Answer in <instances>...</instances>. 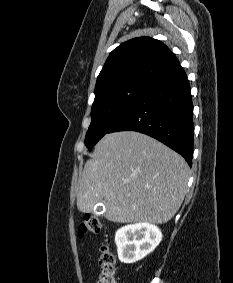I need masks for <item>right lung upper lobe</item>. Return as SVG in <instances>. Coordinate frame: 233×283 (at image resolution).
Instances as JSON below:
<instances>
[{
  "instance_id": "1",
  "label": "right lung upper lobe",
  "mask_w": 233,
  "mask_h": 283,
  "mask_svg": "<svg viewBox=\"0 0 233 283\" xmlns=\"http://www.w3.org/2000/svg\"><path fill=\"white\" fill-rule=\"evenodd\" d=\"M178 65L162 42L149 37L131 39L110 53L98 75L95 93L132 80L150 82Z\"/></svg>"
}]
</instances>
